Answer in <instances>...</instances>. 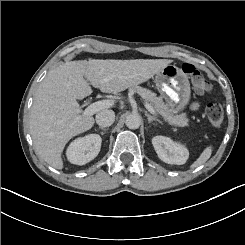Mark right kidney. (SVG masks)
Listing matches in <instances>:
<instances>
[{
  "instance_id": "ca27d5eb",
  "label": "right kidney",
  "mask_w": 245,
  "mask_h": 245,
  "mask_svg": "<svg viewBox=\"0 0 245 245\" xmlns=\"http://www.w3.org/2000/svg\"><path fill=\"white\" fill-rule=\"evenodd\" d=\"M102 139L98 134H89L75 139L67 148L66 155L70 163L84 165L93 160L101 149Z\"/></svg>"
}]
</instances>
